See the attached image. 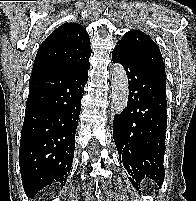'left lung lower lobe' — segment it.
I'll return each mask as SVG.
<instances>
[{
  "mask_svg": "<svg viewBox=\"0 0 196 201\" xmlns=\"http://www.w3.org/2000/svg\"><path fill=\"white\" fill-rule=\"evenodd\" d=\"M112 60L123 65L129 84L127 107L113 122L120 162L134 186L145 177L161 185L165 177L166 75L137 63L119 46Z\"/></svg>",
  "mask_w": 196,
  "mask_h": 201,
  "instance_id": "obj_1",
  "label": "left lung lower lobe"
}]
</instances>
